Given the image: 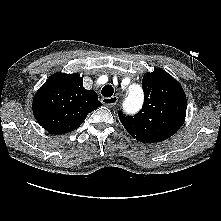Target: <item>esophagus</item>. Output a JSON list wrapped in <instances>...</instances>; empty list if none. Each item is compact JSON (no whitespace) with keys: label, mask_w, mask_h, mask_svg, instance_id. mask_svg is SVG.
<instances>
[{"label":"esophagus","mask_w":221,"mask_h":221,"mask_svg":"<svg viewBox=\"0 0 221 221\" xmlns=\"http://www.w3.org/2000/svg\"><path fill=\"white\" fill-rule=\"evenodd\" d=\"M118 101V98L116 96H112V97H103L101 99V102L107 106V107H112L114 106Z\"/></svg>","instance_id":"obj_1"}]
</instances>
